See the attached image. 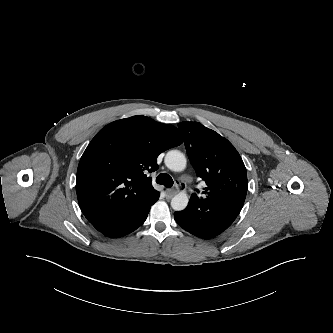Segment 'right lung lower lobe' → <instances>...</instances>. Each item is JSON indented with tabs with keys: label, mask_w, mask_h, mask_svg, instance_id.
I'll return each mask as SVG.
<instances>
[{
	"label": "right lung lower lobe",
	"mask_w": 333,
	"mask_h": 333,
	"mask_svg": "<svg viewBox=\"0 0 333 333\" xmlns=\"http://www.w3.org/2000/svg\"><path fill=\"white\" fill-rule=\"evenodd\" d=\"M152 205L132 214L119 217L97 218L90 220V222L98 231L108 237H121L133 232L144 223Z\"/></svg>",
	"instance_id": "obj_1"
}]
</instances>
